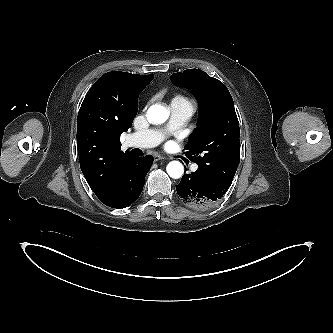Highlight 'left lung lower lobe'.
Instances as JSON below:
<instances>
[{"mask_svg":"<svg viewBox=\"0 0 333 333\" xmlns=\"http://www.w3.org/2000/svg\"><path fill=\"white\" fill-rule=\"evenodd\" d=\"M227 189L200 169L191 174H184L176 186L181 200L197 210H207L213 207Z\"/></svg>","mask_w":333,"mask_h":333,"instance_id":"1","label":"left lung lower lobe"}]
</instances>
